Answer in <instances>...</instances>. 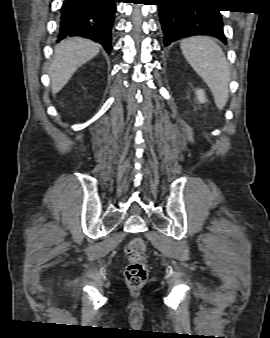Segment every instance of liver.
<instances>
[{
	"label": "liver",
	"instance_id": "obj_1",
	"mask_svg": "<svg viewBox=\"0 0 270 338\" xmlns=\"http://www.w3.org/2000/svg\"><path fill=\"white\" fill-rule=\"evenodd\" d=\"M99 51L98 44L81 38L69 39L56 45L49 70L52 94L58 93L75 71L94 58Z\"/></svg>",
	"mask_w": 270,
	"mask_h": 338
}]
</instances>
